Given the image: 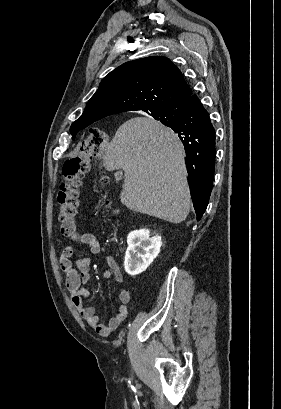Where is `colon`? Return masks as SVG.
<instances>
[{
	"instance_id": "5ec220e1",
	"label": "colon",
	"mask_w": 281,
	"mask_h": 409,
	"mask_svg": "<svg viewBox=\"0 0 281 409\" xmlns=\"http://www.w3.org/2000/svg\"><path fill=\"white\" fill-rule=\"evenodd\" d=\"M109 146L107 130L92 128L89 138L84 141L79 154L68 158L63 164L61 175L63 182L57 193V205L62 232L70 233L79 205V187L81 176L87 169L92 157H102ZM105 181V178H102Z\"/></svg>"
}]
</instances>
